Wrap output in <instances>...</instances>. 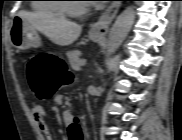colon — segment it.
Returning <instances> with one entry per match:
<instances>
[{
	"instance_id": "5ec220e1",
	"label": "colon",
	"mask_w": 182,
	"mask_h": 140,
	"mask_svg": "<svg viewBox=\"0 0 182 140\" xmlns=\"http://www.w3.org/2000/svg\"><path fill=\"white\" fill-rule=\"evenodd\" d=\"M27 75L30 87L39 99L51 98L57 90L70 82V73L65 63L53 56H34L28 60ZM68 140H85L82 120L79 116L70 119L67 127Z\"/></svg>"
}]
</instances>
